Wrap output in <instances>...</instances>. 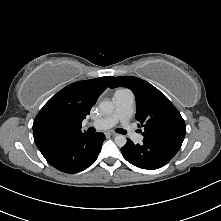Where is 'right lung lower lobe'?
<instances>
[{
	"instance_id": "1",
	"label": "right lung lower lobe",
	"mask_w": 221,
	"mask_h": 221,
	"mask_svg": "<svg viewBox=\"0 0 221 221\" xmlns=\"http://www.w3.org/2000/svg\"><path fill=\"white\" fill-rule=\"evenodd\" d=\"M105 136L103 133H76L57 141L42 153L56 169L77 173L91 166L97 159Z\"/></svg>"
}]
</instances>
